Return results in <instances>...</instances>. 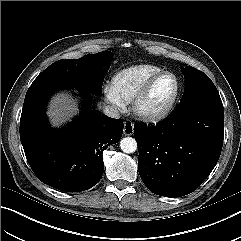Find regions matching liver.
Instances as JSON below:
<instances>
[{
    "mask_svg": "<svg viewBox=\"0 0 241 241\" xmlns=\"http://www.w3.org/2000/svg\"><path fill=\"white\" fill-rule=\"evenodd\" d=\"M77 112V102L74 99L67 94H58L51 100L47 115L54 126H59Z\"/></svg>",
    "mask_w": 241,
    "mask_h": 241,
    "instance_id": "6515ba94",
    "label": "liver"
}]
</instances>
